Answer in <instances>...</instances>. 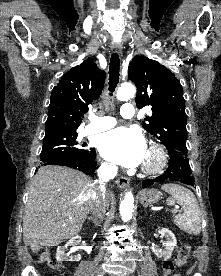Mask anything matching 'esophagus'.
<instances>
[{"instance_id":"obj_1","label":"esophagus","mask_w":221,"mask_h":276,"mask_svg":"<svg viewBox=\"0 0 221 276\" xmlns=\"http://www.w3.org/2000/svg\"><path fill=\"white\" fill-rule=\"evenodd\" d=\"M112 48L117 52V53H121V44L119 43H112ZM117 186L120 188V189H123V188H126L129 186L130 184V180L129 178L125 177V176H120L117 181Z\"/></svg>"}]
</instances>
